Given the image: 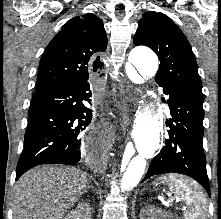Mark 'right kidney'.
<instances>
[{
	"label": "right kidney",
	"mask_w": 221,
	"mask_h": 219,
	"mask_svg": "<svg viewBox=\"0 0 221 219\" xmlns=\"http://www.w3.org/2000/svg\"><path fill=\"white\" fill-rule=\"evenodd\" d=\"M63 219H91V207L83 202L69 212Z\"/></svg>",
	"instance_id": "1"
}]
</instances>
